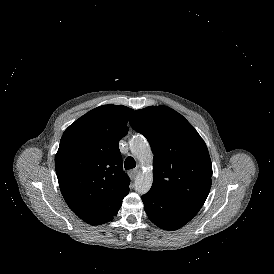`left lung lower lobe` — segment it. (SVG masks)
<instances>
[{
	"instance_id": "left-lung-lower-lobe-1",
	"label": "left lung lower lobe",
	"mask_w": 274,
	"mask_h": 274,
	"mask_svg": "<svg viewBox=\"0 0 274 274\" xmlns=\"http://www.w3.org/2000/svg\"><path fill=\"white\" fill-rule=\"evenodd\" d=\"M149 219L165 230H176L189 222L200 208L179 203L151 190L142 196Z\"/></svg>"
}]
</instances>
